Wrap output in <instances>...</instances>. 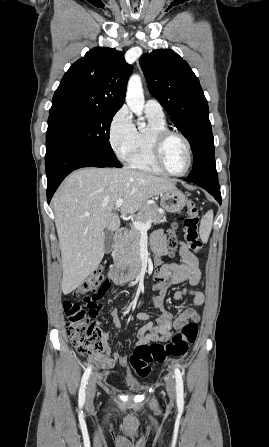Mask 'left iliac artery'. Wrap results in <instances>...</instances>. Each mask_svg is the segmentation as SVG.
Masks as SVG:
<instances>
[{"instance_id":"1","label":"left iliac artery","mask_w":269,"mask_h":447,"mask_svg":"<svg viewBox=\"0 0 269 447\" xmlns=\"http://www.w3.org/2000/svg\"><path fill=\"white\" fill-rule=\"evenodd\" d=\"M175 379H176L177 405L179 407H183L184 406L183 379L182 374L178 368L175 369Z\"/></svg>"}]
</instances>
